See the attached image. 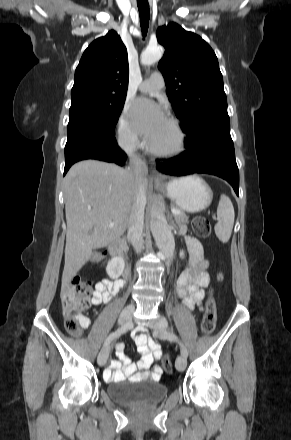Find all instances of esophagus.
<instances>
[{"instance_id":"esophagus-1","label":"esophagus","mask_w":291,"mask_h":440,"mask_svg":"<svg viewBox=\"0 0 291 440\" xmlns=\"http://www.w3.org/2000/svg\"><path fill=\"white\" fill-rule=\"evenodd\" d=\"M152 179H153L154 184H160V183H163V181H164L162 175L155 170L152 173Z\"/></svg>"}]
</instances>
